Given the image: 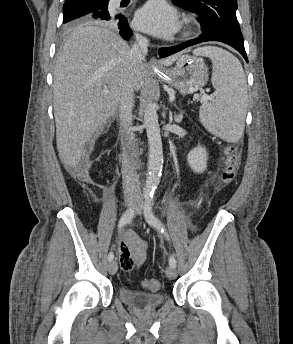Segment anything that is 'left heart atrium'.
Instances as JSON below:
<instances>
[{
    "instance_id": "1",
    "label": "left heart atrium",
    "mask_w": 293,
    "mask_h": 344,
    "mask_svg": "<svg viewBox=\"0 0 293 344\" xmlns=\"http://www.w3.org/2000/svg\"><path fill=\"white\" fill-rule=\"evenodd\" d=\"M137 29L156 37H167L180 26L176 11L163 0H151L136 14Z\"/></svg>"
}]
</instances>
